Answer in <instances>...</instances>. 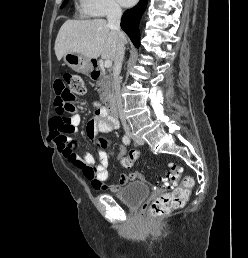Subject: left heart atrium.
<instances>
[{
	"instance_id": "1",
	"label": "left heart atrium",
	"mask_w": 248,
	"mask_h": 258,
	"mask_svg": "<svg viewBox=\"0 0 248 258\" xmlns=\"http://www.w3.org/2000/svg\"><path fill=\"white\" fill-rule=\"evenodd\" d=\"M119 2H120L123 6L128 7V6L133 5V4L136 2V0H119Z\"/></svg>"
}]
</instances>
